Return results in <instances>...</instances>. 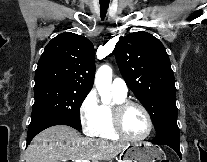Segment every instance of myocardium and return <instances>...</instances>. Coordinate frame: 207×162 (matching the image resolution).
I'll list each match as a JSON object with an SVG mask.
<instances>
[{"instance_id": "f54148a6", "label": "myocardium", "mask_w": 207, "mask_h": 162, "mask_svg": "<svg viewBox=\"0 0 207 162\" xmlns=\"http://www.w3.org/2000/svg\"><path fill=\"white\" fill-rule=\"evenodd\" d=\"M131 107L139 108L146 117L147 130L143 135L139 137L129 136L123 129V124H122L123 116L125 112ZM110 115H111L113 131L118 137L122 139L130 140V141H142L146 139L147 137H149V135L151 134L153 130V121H152L151 115L149 111L147 110V108L139 102L132 101V100H124L121 102H116L113 105V107L110 109Z\"/></svg>"}]
</instances>
